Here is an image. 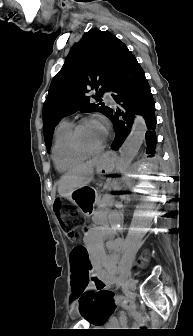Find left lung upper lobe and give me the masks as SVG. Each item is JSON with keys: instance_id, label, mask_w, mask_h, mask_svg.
<instances>
[{"instance_id": "1", "label": "left lung upper lobe", "mask_w": 193, "mask_h": 336, "mask_svg": "<svg viewBox=\"0 0 193 336\" xmlns=\"http://www.w3.org/2000/svg\"><path fill=\"white\" fill-rule=\"evenodd\" d=\"M127 48L116 36L107 31L92 29L70 50L62 69L53 78L43 105V128L47 150L58 121L76 111H97L110 116L112 109L100 102L104 92L110 91L118 71L121 55ZM98 104L90 102L87 93Z\"/></svg>"}]
</instances>
